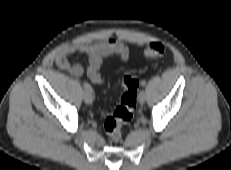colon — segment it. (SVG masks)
<instances>
[{
  "mask_svg": "<svg viewBox=\"0 0 231 170\" xmlns=\"http://www.w3.org/2000/svg\"><path fill=\"white\" fill-rule=\"evenodd\" d=\"M145 54L153 59L161 58L165 54V47L161 43L151 42L147 44ZM120 83L124 89L120 104L111 113L104 112V130L115 142L122 138V125L129 123L133 117L139 86L137 79L130 75L124 76Z\"/></svg>",
  "mask_w": 231,
  "mask_h": 170,
  "instance_id": "colon-1",
  "label": "colon"
}]
</instances>
